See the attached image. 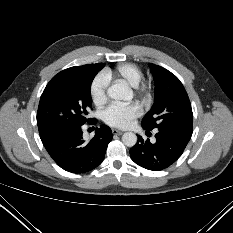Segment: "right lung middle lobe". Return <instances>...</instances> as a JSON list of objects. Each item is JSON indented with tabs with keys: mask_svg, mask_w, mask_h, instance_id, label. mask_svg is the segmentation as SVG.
<instances>
[{
	"mask_svg": "<svg viewBox=\"0 0 233 233\" xmlns=\"http://www.w3.org/2000/svg\"><path fill=\"white\" fill-rule=\"evenodd\" d=\"M104 63L71 67L54 76L44 89L37 112L39 133L81 126L91 108V83Z\"/></svg>",
	"mask_w": 233,
	"mask_h": 233,
	"instance_id": "dd1d6c3e",
	"label": "right lung middle lobe"
}]
</instances>
